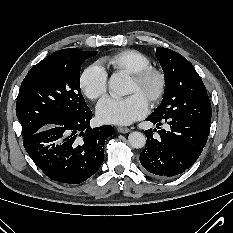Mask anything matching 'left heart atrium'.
I'll use <instances>...</instances> for the list:
<instances>
[{
  "instance_id": "left-heart-atrium-1",
  "label": "left heart atrium",
  "mask_w": 233,
  "mask_h": 233,
  "mask_svg": "<svg viewBox=\"0 0 233 233\" xmlns=\"http://www.w3.org/2000/svg\"><path fill=\"white\" fill-rule=\"evenodd\" d=\"M148 109L147 101L134 93L118 98L106 96L98 103L96 113L103 123L127 125L142 118Z\"/></svg>"
}]
</instances>
